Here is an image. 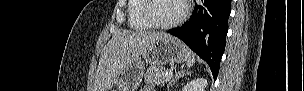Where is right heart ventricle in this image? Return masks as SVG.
I'll return each instance as SVG.
<instances>
[{
  "mask_svg": "<svg viewBox=\"0 0 304 91\" xmlns=\"http://www.w3.org/2000/svg\"><path fill=\"white\" fill-rule=\"evenodd\" d=\"M143 0H129L128 3V24L135 30H148L151 26L144 19L142 14Z\"/></svg>",
  "mask_w": 304,
  "mask_h": 91,
  "instance_id": "e07e8e85",
  "label": "right heart ventricle"
}]
</instances>
